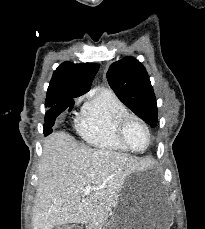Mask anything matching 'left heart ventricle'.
Listing matches in <instances>:
<instances>
[{
  "label": "left heart ventricle",
  "mask_w": 205,
  "mask_h": 229,
  "mask_svg": "<svg viewBox=\"0 0 205 229\" xmlns=\"http://www.w3.org/2000/svg\"><path fill=\"white\" fill-rule=\"evenodd\" d=\"M126 137L129 144L135 149H143L147 144L145 129L137 122H132L127 130Z\"/></svg>",
  "instance_id": "obj_1"
}]
</instances>
